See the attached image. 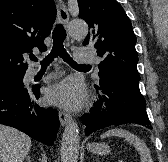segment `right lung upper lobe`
<instances>
[{
  "label": "right lung upper lobe",
  "mask_w": 168,
  "mask_h": 162,
  "mask_svg": "<svg viewBox=\"0 0 168 162\" xmlns=\"http://www.w3.org/2000/svg\"><path fill=\"white\" fill-rule=\"evenodd\" d=\"M55 18L54 0H0V76L26 72L24 54L47 49Z\"/></svg>",
  "instance_id": "cb5924a9"
}]
</instances>
